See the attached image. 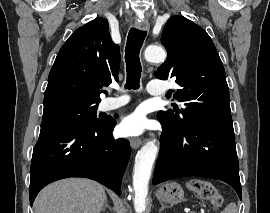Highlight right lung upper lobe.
<instances>
[{
  "label": "right lung upper lobe",
  "instance_id": "1",
  "mask_svg": "<svg viewBox=\"0 0 270 213\" xmlns=\"http://www.w3.org/2000/svg\"><path fill=\"white\" fill-rule=\"evenodd\" d=\"M120 58L107 20L97 17L78 28L57 54L49 73L44 106L65 100L99 103L103 85L118 81Z\"/></svg>",
  "mask_w": 270,
  "mask_h": 213
}]
</instances>
